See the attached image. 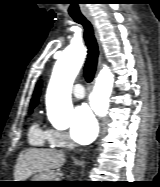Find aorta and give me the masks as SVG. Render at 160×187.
I'll return each instance as SVG.
<instances>
[{"label":"aorta","mask_w":160,"mask_h":187,"mask_svg":"<svg viewBox=\"0 0 160 187\" xmlns=\"http://www.w3.org/2000/svg\"><path fill=\"white\" fill-rule=\"evenodd\" d=\"M84 58L83 46L73 43L56 61L46 94L47 112L51 121L57 120L72 110V87ZM113 82L114 75L108 67H104L98 74L90 95V105L99 116H106L108 112Z\"/></svg>","instance_id":"1"}]
</instances>
